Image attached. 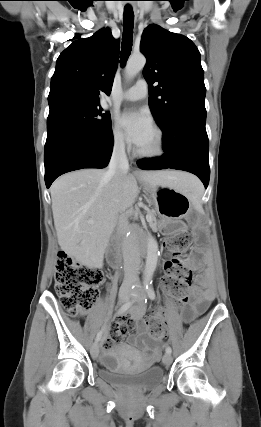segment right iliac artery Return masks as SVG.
I'll list each match as a JSON object with an SVG mask.
<instances>
[{
  "label": "right iliac artery",
  "mask_w": 261,
  "mask_h": 427,
  "mask_svg": "<svg viewBox=\"0 0 261 427\" xmlns=\"http://www.w3.org/2000/svg\"><path fill=\"white\" fill-rule=\"evenodd\" d=\"M132 305V302H127L121 306V308L118 311V314L125 312L130 306ZM102 336V330H100L96 336V342H98L101 339Z\"/></svg>",
  "instance_id": "1"
}]
</instances>
